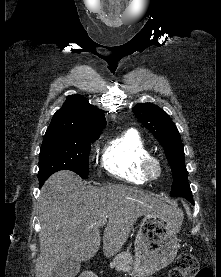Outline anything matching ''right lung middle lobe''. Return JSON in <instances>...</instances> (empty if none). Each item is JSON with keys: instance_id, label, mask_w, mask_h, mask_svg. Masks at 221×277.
<instances>
[{"instance_id": "right-lung-middle-lobe-1", "label": "right lung middle lobe", "mask_w": 221, "mask_h": 277, "mask_svg": "<svg viewBox=\"0 0 221 277\" xmlns=\"http://www.w3.org/2000/svg\"><path fill=\"white\" fill-rule=\"evenodd\" d=\"M101 132L94 133H47L39 155V183L59 170H71L81 178H88V155L90 143L95 142Z\"/></svg>"}]
</instances>
